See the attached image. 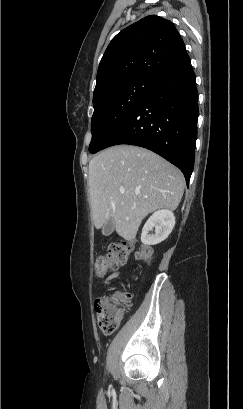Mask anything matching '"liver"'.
<instances>
[{
	"instance_id": "liver-1",
	"label": "liver",
	"mask_w": 243,
	"mask_h": 409,
	"mask_svg": "<svg viewBox=\"0 0 243 409\" xmlns=\"http://www.w3.org/2000/svg\"><path fill=\"white\" fill-rule=\"evenodd\" d=\"M88 174L92 223L100 229L113 218L117 234L127 241L136 237L149 213L175 210L185 187L178 168L152 151L132 145L105 149L90 160Z\"/></svg>"
}]
</instances>
